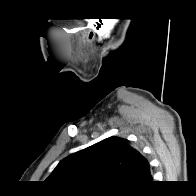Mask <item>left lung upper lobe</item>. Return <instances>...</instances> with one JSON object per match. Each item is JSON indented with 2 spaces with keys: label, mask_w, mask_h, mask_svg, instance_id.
Returning <instances> with one entry per match:
<instances>
[{
  "label": "left lung upper lobe",
  "mask_w": 196,
  "mask_h": 196,
  "mask_svg": "<svg viewBox=\"0 0 196 196\" xmlns=\"http://www.w3.org/2000/svg\"><path fill=\"white\" fill-rule=\"evenodd\" d=\"M149 174V162L137 149L109 137L64 158L47 180L76 191L127 193L139 189Z\"/></svg>",
  "instance_id": "1"
}]
</instances>
